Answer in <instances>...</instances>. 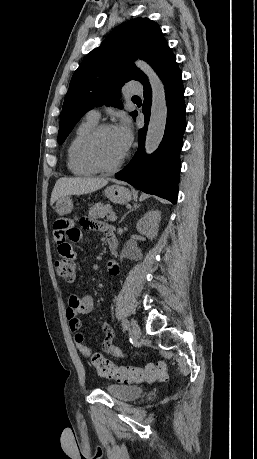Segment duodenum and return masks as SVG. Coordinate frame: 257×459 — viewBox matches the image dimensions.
Segmentation results:
<instances>
[{
  "label": "duodenum",
  "mask_w": 257,
  "mask_h": 459,
  "mask_svg": "<svg viewBox=\"0 0 257 459\" xmlns=\"http://www.w3.org/2000/svg\"><path fill=\"white\" fill-rule=\"evenodd\" d=\"M105 236L107 238V242H108L110 251L112 253L116 252L118 241H117V237L115 233L113 231L106 230Z\"/></svg>",
  "instance_id": "410a0bca"
}]
</instances>
